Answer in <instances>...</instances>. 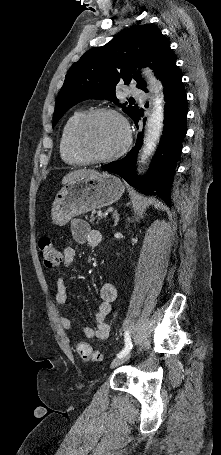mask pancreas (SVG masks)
I'll use <instances>...</instances> for the list:
<instances>
[{
  "label": "pancreas",
  "instance_id": "pancreas-1",
  "mask_svg": "<svg viewBox=\"0 0 221 455\" xmlns=\"http://www.w3.org/2000/svg\"><path fill=\"white\" fill-rule=\"evenodd\" d=\"M95 220H96L95 212H92L91 215H90V222H91L92 224H94Z\"/></svg>",
  "mask_w": 221,
  "mask_h": 455
}]
</instances>
